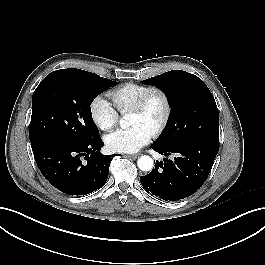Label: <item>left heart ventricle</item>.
<instances>
[{"label":"left heart ventricle","instance_id":"b2bd125f","mask_svg":"<svg viewBox=\"0 0 265 265\" xmlns=\"http://www.w3.org/2000/svg\"><path fill=\"white\" fill-rule=\"evenodd\" d=\"M163 109L162 100L159 97H154L144 113H130V125H142L152 132L163 114Z\"/></svg>","mask_w":265,"mask_h":265}]
</instances>
